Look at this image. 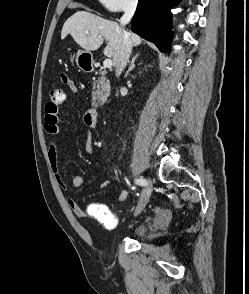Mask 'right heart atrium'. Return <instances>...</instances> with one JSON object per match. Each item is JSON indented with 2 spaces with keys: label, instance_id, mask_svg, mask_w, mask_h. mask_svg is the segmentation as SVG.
Returning <instances> with one entry per match:
<instances>
[{
  "label": "right heart atrium",
  "instance_id": "right-heart-atrium-1",
  "mask_svg": "<svg viewBox=\"0 0 249 294\" xmlns=\"http://www.w3.org/2000/svg\"><path fill=\"white\" fill-rule=\"evenodd\" d=\"M100 3L109 11L117 12L134 9L138 0H99Z\"/></svg>",
  "mask_w": 249,
  "mask_h": 294
}]
</instances>
